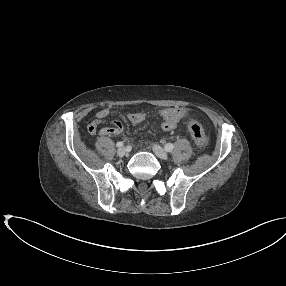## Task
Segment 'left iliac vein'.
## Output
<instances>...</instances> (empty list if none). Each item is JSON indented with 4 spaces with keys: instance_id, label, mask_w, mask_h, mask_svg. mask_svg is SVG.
Instances as JSON below:
<instances>
[{
    "instance_id": "left-iliac-vein-1",
    "label": "left iliac vein",
    "mask_w": 286,
    "mask_h": 286,
    "mask_svg": "<svg viewBox=\"0 0 286 286\" xmlns=\"http://www.w3.org/2000/svg\"><path fill=\"white\" fill-rule=\"evenodd\" d=\"M152 149L157 157L164 160L168 158V153L161 146L154 144Z\"/></svg>"
}]
</instances>
